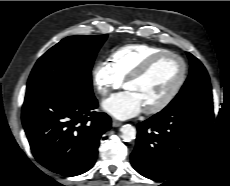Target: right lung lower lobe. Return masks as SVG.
<instances>
[{
  "instance_id": "98d812e1",
  "label": "right lung lower lobe",
  "mask_w": 230,
  "mask_h": 186,
  "mask_svg": "<svg viewBox=\"0 0 230 186\" xmlns=\"http://www.w3.org/2000/svg\"><path fill=\"white\" fill-rule=\"evenodd\" d=\"M97 107L93 93L45 88L26 94L22 123L36 160L67 177L91 169L99 140L111 128L110 117Z\"/></svg>"
}]
</instances>
